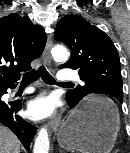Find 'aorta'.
Returning a JSON list of instances; mask_svg holds the SVG:
<instances>
[{
    "label": "aorta",
    "mask_w": 130,
    "mask_h": 153,
    "mask_svg": "<svg viewBox=\"0 0 130 153\" xmlns=\"http://www.w3.org/2000/svg\"><path fill=\"white\" fill-rule=\"evenodd\" d=\"M52 56L55 61H67L69 52L65 47L56 46L52 49ZM49 137L45 127L41 128L35 140L34 153H48L49 152Z\"/></svg>",
    "instance_id": "aorta-1"
}]
</instances>
